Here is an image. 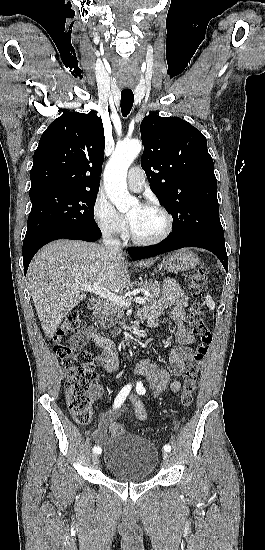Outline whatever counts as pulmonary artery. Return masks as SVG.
Here are the masks:
<instances>
[{
  "mask_svg": "<svg viewBox=\"0 0 265 550\" xmlns=\"http://www.w3.org/2000/svg\"><path fill=\"white\" fill-rule=\"evenodd\" d=\"M127 184L130 190L140 192L145 186V177L140 167H132L127 175Z\"/></svg>",
  "mask_w": 265,
  "mask_h": 550,
  "instance_id": "pulmonary-artery-1",
  "label": "pulmonary artery"
}]
</instances>
